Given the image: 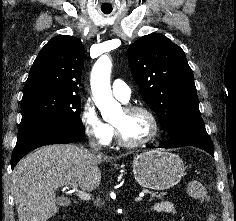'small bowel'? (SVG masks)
Masks as SVG:
<instances>
[{"instance_id": "small-bowel-1", "label": "small bowel", "mask_w": 236, "mask_h": 221, "mask_svg": "<svg viewBox=\"0 0 236 221\" xmlns=\"http://www.w3.org/2000/svg\"><path fill=\"white\" fill-rule=\"evenodd\" d=\"M149 211L152 213H163V214H170V215L176 214V210H175L173 204L169 201L158 202V203L152 205L149 208Z\"/></svg>"}]
</instances>
